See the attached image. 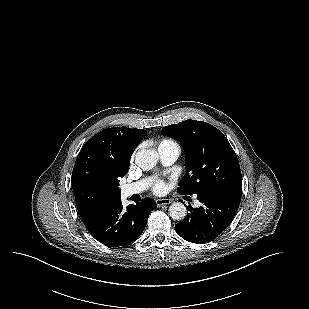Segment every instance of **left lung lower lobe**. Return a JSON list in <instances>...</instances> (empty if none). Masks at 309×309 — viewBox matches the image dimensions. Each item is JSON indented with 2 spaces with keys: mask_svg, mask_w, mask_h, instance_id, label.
<instances>
[{
  "mask_svg": "<svg viewBox=\"0 0 309 309\" xmlns=\"http://www.w3.org/2000/svg\"><path fill=\"white\" fill-rule=\"evenodd\" d=\"M202 203L199 208L188 206L189 213L175 224V230L186 241L206 243L220 235L233 220L238 210L241 194L213 192L197 194Z\"/></svg>",
  "mask_w": 309,
  "mask_h": 309,
  "instance_id": "1",
  "label": "left lung lower lobe"
}]
</instances>
